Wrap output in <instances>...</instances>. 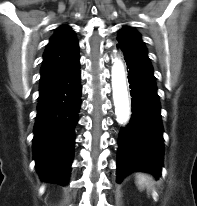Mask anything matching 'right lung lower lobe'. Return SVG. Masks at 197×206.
I'll return each instance as SVG.
<instances>
[{
    "label": "right lung lower lobe",
    "instance_id": "1",
    "mask_svg": "<svg viewBox=\"0 0 197 206\" xmlns=\"http://www.w3.org/2000/svg\"><path fill=\"white\" fill-rule=\"evenodd\" d=\"M79 59L71 69L40 88L34 126L36 168L44 182H67L74 153V127L81 97Z\"/></svg>",
    "mask_w": 197,
    "mask_h": 206
}]
</instances>
